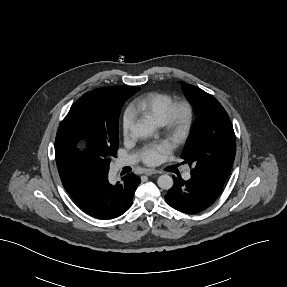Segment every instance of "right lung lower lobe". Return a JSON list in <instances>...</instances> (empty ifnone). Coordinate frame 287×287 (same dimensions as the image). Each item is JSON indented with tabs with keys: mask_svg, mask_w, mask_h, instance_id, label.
Instances as JSON below:
<instances>
[{
	"mask_svg": "<svg viewBox=\"0 0 287 287\" xmlns=\"http://www.w3.org/2000/svg\"><path fill=\"white\" fill-rule=\"evenodd\" d=\"M62 184L77 205L98 219H113L124 214L132 205L141 180L133 173L121 182L111 184L108 173L103 175H68L59 173Z\"/></svg>",
	"mask_w": 287,
	"mask_h": 287,
	"instance_id": "1",
	"label": "right lung lower lobe"
}]
</instances>
